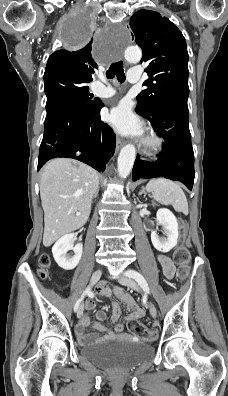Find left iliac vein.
Wrapping results in <instances>:
<instances>
[{"instance_id": "1", "label": "left iliac vein", "mask_w": 228, "mask_h": 396, "mask_svg": "<svg viewBox=\"0 0 228 396\" xmlns=\"http://www.w3.org/2000/svg\"><path fill=\"white\" fill-rule=\"evenodd\" d=\"M118 281H119V283H121L122 285H125V286H127V287H130V288L135 289V290H137V291L140 290V288H139V286L137 285V283H136L131 277H128L126 274H125L124 276H122V277H119V278H118ZM148 306H149V310H150L151 316H152L153 318H156V316H157V309H156L154 303L151 302V301H149V302H148Z\"/></svg>"}]
</instances>
